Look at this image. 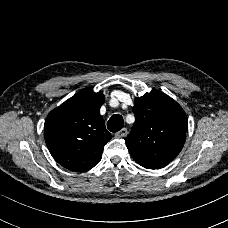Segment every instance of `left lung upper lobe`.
I'll use <instances>...</instances> for the list:
<instances>
[{"mask_svg":"<svg viewBox=\"0 0 228 228\" xmlns=\"http://www.w3.org/2000/svg\"><path fill=\"white\" fill-rule=\"evenodd\" d=\"M135 123L125 139L132 158L141 166L159 169L176 158L185 142L187 116L164 93L152 90L135 98Z\"/></svg>","mask_w":228,"mask_h":228,"instance_id":"left-lung-upper-lobe-1","label":"left lung upper lobe"}]
</instances>
